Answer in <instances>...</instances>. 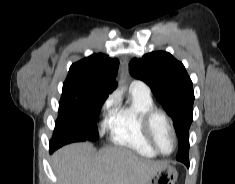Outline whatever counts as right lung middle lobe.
<instances>
[{
	"instance_id": "1",
	"label": "right lung middle lobe",
	"mask_w": 235,
	"mask_h": 184,
	"mask_svg": "<svg viewBox=\"0 0 235 184\" xmlns=\"http://www.w3.org/2000/svg\"><path fill=\"white\" fill-rule=\"evenodd\" d=\"M96 92L91 89L62 91L59 102V128L52 140L57 149L65 144L98 139L96 120L103 104L91 103Z\"/></svg>"
}]
</instances>
